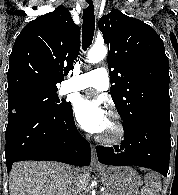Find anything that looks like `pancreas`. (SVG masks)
Listing matches in <instances>:
<instances>
[{
    "instance_id": "obj_1",
    "label": "pancreas",
    "mask_w": 178,
    "mask_h": 195,
    "mask_svg": "<svg viewBox=\"0 0 178 195\" xmlns=\"http://www.w3.org/2000/svg\"><path fill=\"white\" fill-rule=\"evenodd\" d=\"M102 195H107L105 192H103V194Z\"/></svg>"
}]
</instances>
